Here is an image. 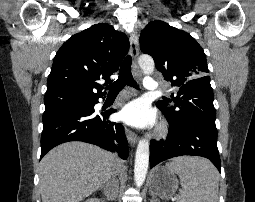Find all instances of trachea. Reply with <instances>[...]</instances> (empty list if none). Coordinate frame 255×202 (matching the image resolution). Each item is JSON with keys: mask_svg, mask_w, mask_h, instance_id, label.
<instances>
[{"mask_svg": "<svg viewBox=\"0 0 255 202\" xmlns=\"http://www.w3.org/2000/svg\"><path fill=\"white\" fill-rule=\"evenodd\" d=\"M126 85L137 87V83L133 79L131 73V57L128 55L119 70V78L111 85L108 86L109 95L118 94Z\"/></svg>", "mask_w": 255, "mask_h": 202, "instance_id": "3493384b", "label": "trachea"}]
</instances>
